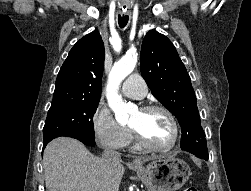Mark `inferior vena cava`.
Returning <instances> with one entry per match:
<instances>
[{"label": "inferior vena cava", "mask_w": 251, "mask_h": 191, "mask_svg": "<svg viewBox=\"0 0 251 191\" xmlns=\"http://www.w3.org/2000/svg\"><path fill=\"white\" fill-rule=\"evenodd\" d=\"M102 157L103 159H106V161H109V163H120L121 161V155L119 151H115V149H109V147L104 149Z\"/></svg>", "instance_id": "602c4592"}]
</instances>
